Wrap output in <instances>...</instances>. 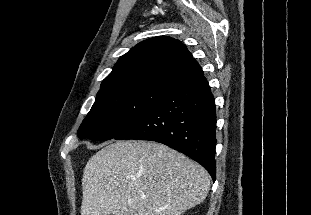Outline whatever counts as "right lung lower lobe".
<instances>
[{
	"instance_id": "obj_1",
	"label": "right lung lower lobe",
	"mask_w": 311,
	"mask_h": 215,
	"mask_svg": "<svg viewBox=\"0 0 311 215\" xmlns=\"http://www.w3.org/2000/svg\"><path fill=\"white\" fill-rule=\"evenodd\" d=\"M114 139L150 140L182 152L216 179V107L201 68L173 81L158 103Z\"/></svg>"
}]
</instances>
